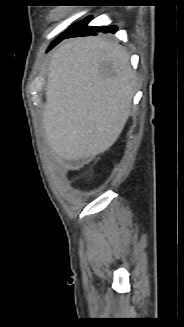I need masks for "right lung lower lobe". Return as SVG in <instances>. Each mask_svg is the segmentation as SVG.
<instances>
[{"label": "right lung lower lobe", "instance_id": "right-lung-lower-lobe-1", "mask_svg": "<svg viewBox=\"0 0 184 327\" xmlns=\"http://www.w3.org/2000/svg\"><path fill=\"white\" fill-rule=\"evenodd\" d=\"M91 19H92V16H89V17L85 18L84 20L80 21L78 23V25H76V27L72 31L65 34L58 42H60L64 38L96 35L97 31L103 32V33H115L117 31L116 26H103V27L88 26V23L90 22Z\"/></svg>", "mask_w": 184, "mask_h": 327}]
</instances>
